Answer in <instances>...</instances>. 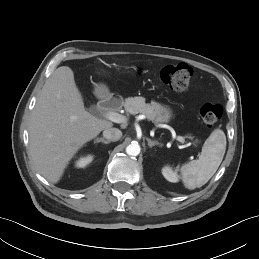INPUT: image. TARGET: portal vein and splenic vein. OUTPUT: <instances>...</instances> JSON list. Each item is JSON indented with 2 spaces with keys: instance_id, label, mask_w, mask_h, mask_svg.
<instances>
[{
  "instance_id": "18ae733b",
  "label": "portal vein and splenic vein",
  "mask_w": 259,
  "mask_h": 259,
  "mask_svg": "<svg viewBox=\"0 0 259 259\" xmlns=\"http://www.w3.org/2000/svg\"><path fill=\"white\" fill-rule=\"evenodd\" d=\"M105 118L112 121V122H115V123H126L127 122V118L124 116V115H121L119 113H116V112H107L105 114ZM176 139L184 144L185 147H188V144H185V139L182 137V136H176Z\"/></svg>"
}]
</instances>
